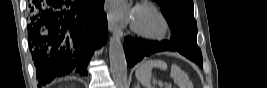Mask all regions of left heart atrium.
I'll list each match as a JSON object with an SVG mask.
<instances>
[{"instance_id":"39dd6f15","label":"left heart atrium","mask_w":267,"mask_h":88,"mask_svg":"<svg viewBox=\"0 0 267 88\" xmlns=\"http://www.w3.org/2000/svg\"><path fill=\"white\" fill-rule=\"evenodd\" d=\"M109 14L113 20L125 22L131 17L130 9L124 1H111Z\"/></svg>"}]
</instances>
